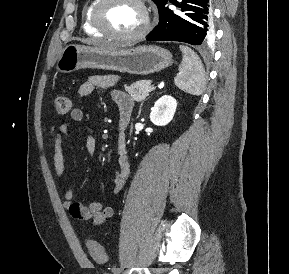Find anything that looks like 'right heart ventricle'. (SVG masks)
I'll use <instances>...</instances> for the list:
<instances>
[{"instance_id":"right-heart-ventricle-1","label":"right heart ventricle","mask_w":289,"mask_h":274,"mask_svg":"<svg viewBox=\"0 0 289 274\" xmlns=\"http://www.w3.org/2000/svg\"><path fill=\"white\" fill-rule=\"evenodd\" d=\"M97 0H89L84 6L82 13V27L86 34L95 37H102L103 34L99 32L92 24V10Z\"/></svg>"}]
</instances>
